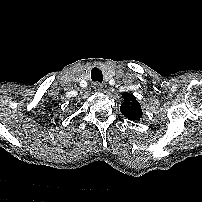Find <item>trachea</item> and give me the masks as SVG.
Instances as JSON below:
<instances>
[{
	"mask_svg": "<svg viewBox=\"0 0 202 202\" xmlns=\"http://www.w3.org/2000/svg\"><path fill=\"white\" fill-rule=\"evenodd\" d=\"M91 79L93 81H98V82H102L103 81V75H102V71L98 68H93L91 70Z\"/></svg>",
	"mask_w": 202,
	"mask_h": 202,
	"instance_id": "obj_1",
	"label": "trachea"
}]
</instances>
